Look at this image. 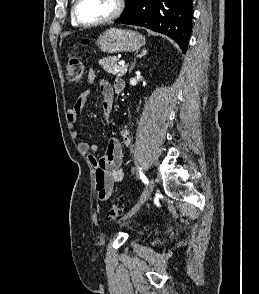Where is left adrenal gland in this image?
Returning <instances> with one entry per match:
<instances>
[{"mask_svg":"<svg viewBox=\"0 0 259 294\" xmlns=\"http://www.w3.org/2000/svg\"><path fill=\"white\" fill-rule=\"evenodd\" d=\"M146 54H147V51L145 49H143V51L139 55L136 56V58L134 59V62L132 63V65H131V67L129 69V73H131L132 70L134 69L135 64H136V59L141 58V57L145 56Z\"/></svg>","mask_w":259,"mask_h":294,"instance_id":"left-adrenal-gland-1","label":"left adrenal gland"}]
</instances>
